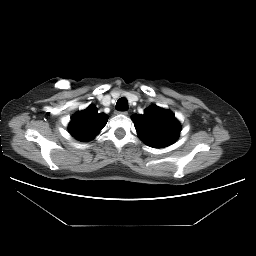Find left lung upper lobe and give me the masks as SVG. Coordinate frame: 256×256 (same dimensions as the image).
<instances>
[{
    "mask_svg": "<svg viewBox=\"0 0 256 256\" xmlns=\"http://www.w3.org/2000/svg\"><path fill=\"white\" fill-rule=\"evenodd\" d=\"M139 137L149 146L163 148L171 145L181 131L180 123L173 113L152 105L143 115L132 116Z\"/></svg>",
    "mask_w": 256,
    "mask_h": 256,
    "instance_id": "5c2ea615",
    "label": "left lung upper lobe"
}]
</instances>
